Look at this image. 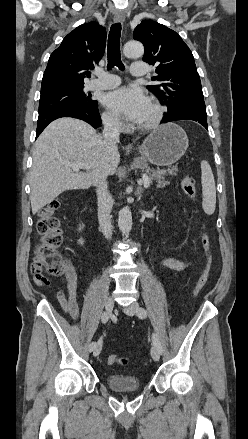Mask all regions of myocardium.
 <instances>
[{
  "label": "myocardium",
  "instance_id": "myocardium-1",
  "mask_svg": "<svg viewBox=\"0 0 248 439\" xmlns=\"http://www.w3.org/2000/svg\"><path fill=\"white\" fill-rule=\"evenodd\" d=\"M149 104L152 106L154 113L151 119L145 123L137 125V129L140 131H150L157 128L164 117V107L155 99H151Z\"/></svg>",
  "mask_w": 248,
  "mask_h": 439
}]
</instances>
